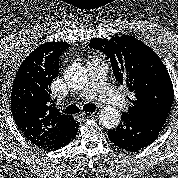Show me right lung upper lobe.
Listing matches in <instances>:
<instances>
[{"instance_id": "right-lung-upper-lobe-1", "label": "right lung upper lobe", "mask_w": 178, "mask_h": 178, "mask_svg": "<svg viewBox=\"0 0 178 178\" xmlns=\"http://www.w3.org/2000/svg\"><path fill=\"white\" fill-rule=\"evenodd\" d=\"M70 47L66 42H47L32 51L16 74L11 93V112L23 136L45 149L76 127L71 115L61 114L50 96L58 76L59 58Z\"/></svg>"}]
</instances>
